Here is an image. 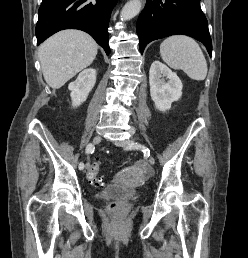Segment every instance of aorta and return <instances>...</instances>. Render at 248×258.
I'll return each mask as SVG.
<instances>
[{
    "instance_id": "1",
    "label": "aorta",
    "mask_w": 248,
    "mask_h": 258,
    "mask_svg": "<svg viewBox=\"0 0 248 258\" xmlns=\"http://www.w3.org/2000/svg\"><path fill=\"white\" fill-rule=\"evenodd\" d=\"M141 6V0H130L121 11V20L127 21L135 17L140 12Z\"/></svg>"
}]
</instances>
